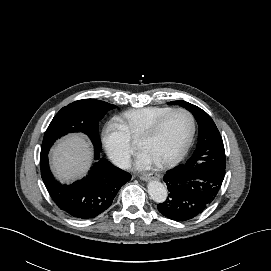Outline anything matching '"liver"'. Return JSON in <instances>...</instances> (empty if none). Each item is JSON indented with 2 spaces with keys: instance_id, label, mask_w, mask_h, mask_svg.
Listing matches in <instances>:
<instances>
[{
  "instance_id": "obj_1",
  "label": "liver",
  "mask_w": 271,
  "mask_h": 271,
  "mask_svg": "<svg viewBox=\"0 0 271 271\" xmlns=\"http://www.w3.org/2000/svg\"><path fill=\"white\" fill-rule=\"evenodd\" d=\"M93 161V148L83 135H69L52 150V168L61 181L84 175Z\"/></svg>"
}]
</instances>
